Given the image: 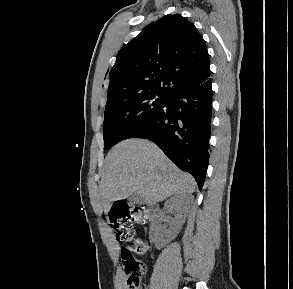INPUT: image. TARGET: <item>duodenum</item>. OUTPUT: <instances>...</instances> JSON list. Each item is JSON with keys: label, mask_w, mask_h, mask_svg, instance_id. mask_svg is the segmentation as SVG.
<instances>
[{"label": "duodenum", "mask_w": 293, "mask_h": 289, "mask_svg": "<svg viewBox=\"0 0 293 289\" xmlns=\"http://www.w3.org/2000/svg\"><path fill=\"white\" fill-rule=\"evenodd\" d=\"M156 211H157V207L155 205L148 206L147 208L148 218L149 219L153 218L156 214Z\"/></svg>", "instance_id": "duodenum-1"}]
</instances>
